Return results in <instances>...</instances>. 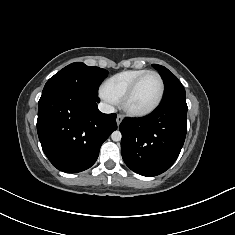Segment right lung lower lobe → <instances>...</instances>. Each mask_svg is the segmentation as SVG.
I'll list each match as a JSON object with an SVG mask.
<instances>
[{
	"label": "right lung lower lobe",
	"instance_id": "obj_1",
	"mask_svg": "<svg viewBox=\"0 0 235 235\" xmlns=\"http://www.w3.org/2000/svg\"><path fill=\"white\" fill-rule=\"evenodd\" d=\"M98 102V96L70 88L42 93L38 137L58 170L77 173L90 168L103 142L117 129L116 114L101 113Z\"/></svg>",
	"mask_w": 235,
	"mask_h": 235
}]
</instances>
